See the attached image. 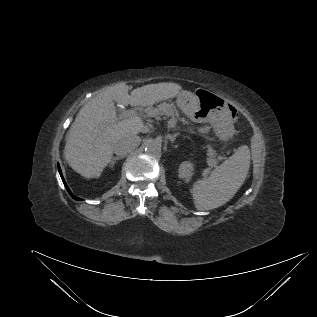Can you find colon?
Returning <instances> with one entry per match:
<instances>
[{
	"instance_id": "1",
	"label": "colon",
	"mask_w": 317,
	"mask_h": 317,
	"mask_svg": "<svg viewBox=\"0 0 317 317\" xmlns=\"http://www.w3.org/2000/svg\"><path fill=\"white\" fill-rule=\"evenodd\" d=\"M232 117L235 118L236 117V111L234 109H232Z\"/></svg>"
}]
</instances>
